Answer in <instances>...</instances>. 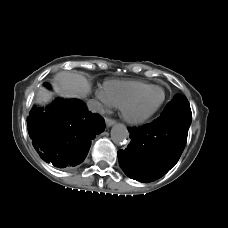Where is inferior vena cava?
<instances>
[{
  "label": "inferior vena cava",
  "instance_id": "inferior-vena-cava-1",
  "mask_svg": "<svg viewBox=\"0 0 228 228\" xmlns=\"http://www.w3.org/2000/svg\"><path fill=\"white\" fill-rule=\"evenodd\" d=\"M87 107H88V109L91 112H97V113H100V114H103L104 113L103 106L99 102H97L96 100H94V99H90L87 102Z\"/></svg>",
  "mask_w": 228,
  "mask_h": 228
}]
</instances>
